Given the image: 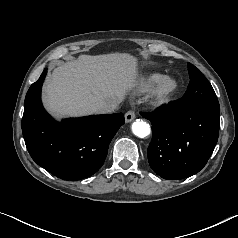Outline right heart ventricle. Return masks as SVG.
Here are the masks:
<instances>
[{"label": "right heart ventricle", "mask_w": 238, "mask_h": 238, "mask_svg": "<svg viewBox=\"0 0 238 238\" xmlns=\"http://www.w3.org/2000/svg\"><path fill=\"white\" fill-rule=\"evenodd\" d=\"M163 76L165 75L158 72L150 73L146 75L140 80V83H139L140 89L141 90L151 89L156 84V82H158Z\"/></svg>", "instance_id": "1"}]
</instances>
